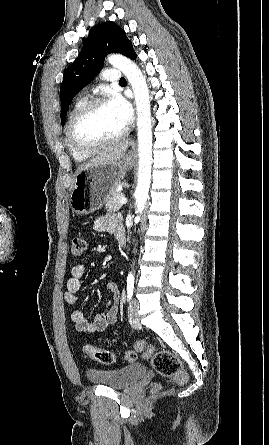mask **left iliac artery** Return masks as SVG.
I'll return each mask as SVG.
<instances>
[{
  "instance_id": "44dca946",
  "label": "left iliac artery",
  "mask_w": 269,
  "mask_h": 445,
  "mask_svg": "<svg viewBox=\"0 0 269 445\" xmlns=\"http://www.w3.org/2000/svg\"><path fill=\"white\" fill-rule=\"evenodd\" d=\"M134 290V277L132 275H129L127 278V298L128 300L131 299L133 295Z\"/></svg>"
}]
</instances>
